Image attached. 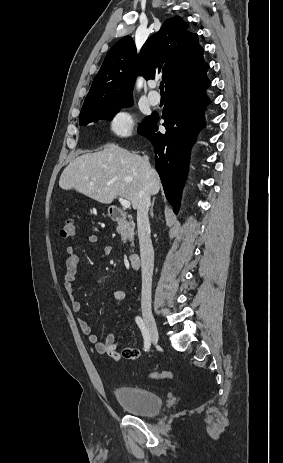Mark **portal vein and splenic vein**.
<instances>
[{
	"label": "portal vein and splenic vein",
	"instance_id": "18ae733b",
	"mask_svg": "<svg viewBox=\"0 0 283 463\" xmlns=\"http://www.w3.org/2000/svg\"><path fill=\"white\" fill-rule=\"evenodd\" d=\"M119 202L121 203V205L123 206V208H130V201L127 200V199H124L122 197H119Z\"/></svg>",
	"mask_w": 283,
	"mask_h": 463
}]
</instances>
